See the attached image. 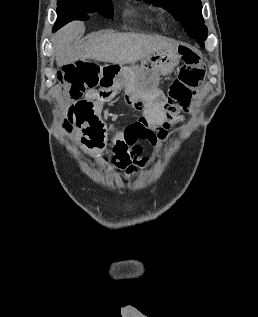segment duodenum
I'll list each match as a JSON object with an SVG mask.
<instances>
[{
  "instance_id": "410a0bca",
  "label": "duodenum",
  "mask_w": 258,
  "mask_h": 317,
  "mask_svg": "<svg viewBox=\"0 0 258 317\" xmlns=\"http://www.w3.org/2000/svg\"><path fill=\"white\" fill-rule=\"evenodd\" d=\"M122 86L118 83H110L101 86L100 89H91L87 93V99L98 105L101 106L106 102H110L115 99L121 92Z\"/></svg>"
}]
</instances>
